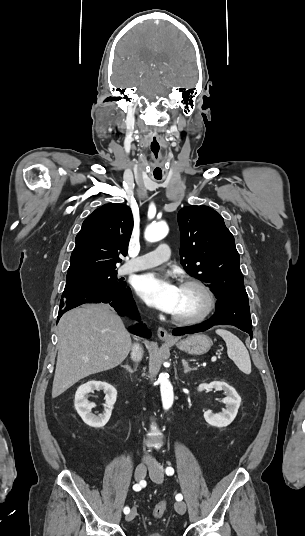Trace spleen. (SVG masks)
Masks as SVG:
<instances>
[{
	"label": "spleen",
	"instance_id": "spleen-1",
	"mask_svg": "<svg viewBox=\"0 0 305 536\" xmlns=\"http://www.w3.org/2000/svg\"><path fill=\"white\" fill-rule=\"evenodd\" d=\"M216 334L226 342L227 354L230 360H233L241 372L251 374V360L243 342L231 332H227V330H216Z\"/></svg>",
	"mask_w": 305,
	"mask_h": 536
}]
</instances>
